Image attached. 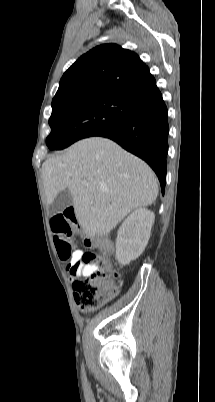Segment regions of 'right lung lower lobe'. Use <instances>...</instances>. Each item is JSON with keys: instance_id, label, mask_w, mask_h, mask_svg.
Instances as JSON below:
<instances>
[{"instance_id": "98d812e1", "label": "right lung lower lobe", "mask_w": 215, "mask_h": 402, "mask_svg": "<svg viewBox=\"0 0 215 402\" xmlns=\"http://www.w3.org/2000/svg\"><path fill=\"white\" fill-rule=\"evenodd\" d=\"M168 135L167 107L159 93L140 101L123 122L98 136L115 141L147 162L156 173L164 194Z\"/></svg>"}]
</instances>
